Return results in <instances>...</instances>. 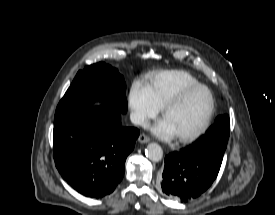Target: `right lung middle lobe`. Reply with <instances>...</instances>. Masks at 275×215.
I'll list each match as a JSON object with an SVG mask.
<instances>
[{
    "label": "right lung middle lobe",
    "mask_w": 275,
    "mask_h": 215,
    "mask_svg": "<svg viewBox=\"0 0 275 215\" xmlns=\"http://www.w3.org/2000/svg\"><path fill=\"white\" fill-rule=\"evenodd\" d=\"M126 84L117 69L103 62L79 71L71 86L59 102L55 117L88 108L94 101H103L127 111Z\"/></svg>",
    "instance_id": "obj_1"
}]
</instances>
